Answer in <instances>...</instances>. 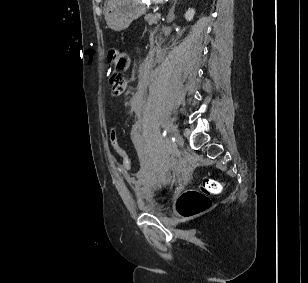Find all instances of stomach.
Masks as SVG:
<instances>
[{
	"mask_svg": "<svg viewBox=\"0 0 308 283\" xmlns=\"http://www.w3.org/2000/svg\"><path fill=\"white\" fill-rule=\"evenodd\" d=\"M153 3H164L166 0H151ZM146 12L142 0H113L105 10L108 27L114 31L128 28L131 22Z\"/></svg>",
	"mask_w": 308,
	"mask_h": 283,
	"instance_id": "1",
	"label": "stomach"
}]
</instances>
